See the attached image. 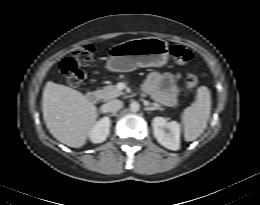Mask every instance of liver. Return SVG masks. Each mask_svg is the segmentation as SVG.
Masks as SVG:
<instances>
[{"instance_id":"obj_1","label":"liver","mask_w":260,"mask_h":205,"mask_svg":"<svg viewBox=\"0 0 260 205\" xmlns=\"http://www.w3.org/2000/svg\"><path fill=\"white\" fill-rule=\"evenodd\" d=\"M43 119L59 142L73 148L85 145L96 124V106L81 92L48 81L43 90Z\"/></svg>"}]
</instances>
